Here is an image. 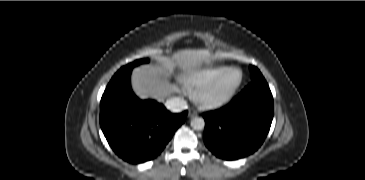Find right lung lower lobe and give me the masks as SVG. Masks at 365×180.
I'll use <instances>...</instances> for the list:
<instances>
[{
    "instance_id": "obj_1",
    "label": "right lung lower lobe",
    "mask_w": 365,
    "mask_h": 180,
    "mask_svg": "<svg viewBox=\"0 0 365 180\" xmlns=\"http://www.w3.org/2000/svg\"><path fill=\"white\" fill-rule=\"evenodd\" d=\"M131 70L116 73L106 87L100 126L113 151L137 164L160 154L188 112L172 114L156 101L140 100L130 86Z\"/></svg>"
}]
</instances>
